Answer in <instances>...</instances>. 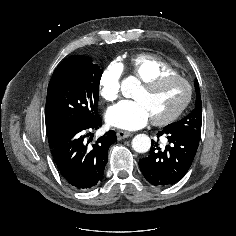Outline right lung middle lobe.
<instances>
[{"label": "right lung middle lobe", "instance_id": "1", "mask_svg": "<svg viewBox=\"0 0 236 236\" xmlns=\"http://www.w3.org/2000/svg\"><path fill=\"white\" fill-rule=\"evenodd\" d=\"M101 69L87 56H72L55 70L47 90L46 117L61 128L98 115Z\"/></svg>", "mask_w": 236, "mask_h": 236}]
</instances>
